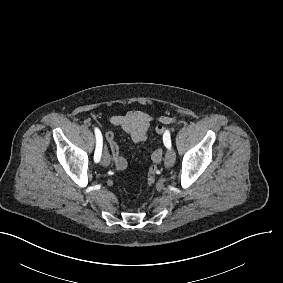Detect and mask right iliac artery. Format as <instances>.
Wrapping results in <instances>:
<instances>
[{
	"label": "right iliac artery",
	"instance_id": "82829eb1",
	"mask_svg": "<svg viewBox=\"0 0 283 283\" xmlns=\"http://www.w3.org/2000/svg\"><path fill=\"white\" fill-rule=\"evenodd\" d=\"M95 135H96V149L94 153V161L99 162L102 153L103 139H102V134L98 128H95Z\"/></svg>",
	"mask_w": 283,
	"mask_h": 283
}]
</instances>
